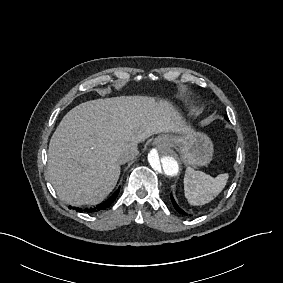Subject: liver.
Instances as JSON below:
<instances>
[{"instance_id": "1", "label": "liver", "mask_w": 283, "mask_h": 283, "mask_svg": "<svg viewBox=\"0 0 283 283\" xmlns=\"http://www.w3.org/2000/svg\"><path fill=\"white\" fill-rule=\"evenodd\" d=\"M161 132L193 129L171 102L154 97L120 96L77 105L49 143L48 174L57 195L75 206L100 203L119 179L117 154Z\"/></svg>"}]
</instances>
